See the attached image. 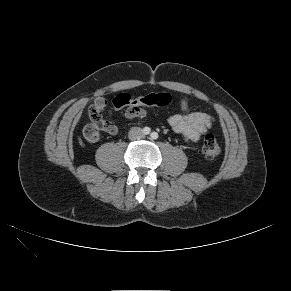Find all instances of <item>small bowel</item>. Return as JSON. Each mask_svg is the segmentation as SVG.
Masks as SVG:
<instances>
[{
    "mask_svg": "<svg viewBox=\"0 0 291 291\" xmlns=\"http://www.w3.org/2000/svg\"><path fill=\"white\" fill-rule=\"evenodd\" d=\"M107 106L108 100L105 97H97L92 107L102 114ZM146 107L150 106L129 104L125 109V116L129 119L145 117L147 115ZM179 107L180 112L168 118L170 127L174 132L180 134L187 142H198L200 138L211 129L214 124V118L204 112H190L188 102L185 99L180 100ZM115 129L114 133L117 132L116 126Z\"/></svg>",
    "mask_w": 291,
    "mask_h": 291,
    "instance_id": "small-bowel-1",
    "label": "small bowel"
}]
</instances>
